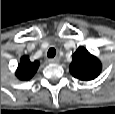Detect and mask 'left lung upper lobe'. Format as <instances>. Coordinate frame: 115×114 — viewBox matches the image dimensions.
I'll return each instance as SVG.
<instances>
[{"label": "left lung upper lobe", "mask_w": 115, "mask_h": 114, "mask_svg": "<svg viewBox=\"0 0 115 114\" xmlns=\"http://www.w3.org/2000/svg\"><path fill=\"white\" fill-rule=\"evenodd\" d=\"M102 65L99 59L91 55L84 47H79L73 54V61L69 70L71 74L80 80L90 81L101 72Z\"/></svg>", "instance_id": "5c2ea615"}]
</instances>
